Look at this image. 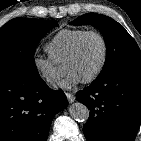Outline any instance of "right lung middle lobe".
Returning <instances> with one entry per match:
<instances>
[{
  "mask_svg": "<svg viewBox=\"0 0 141 141\" xmlns=\"http://www.w3.org/2000/svg\"><path fill=\"white\" fill-rule=\"evenodd\" d=\"M57 23L51 20L15 18L0 28V73L38 74L36 45Z\"/></svg>",
  "mask_w": 141,
  "mask_h": 141,
  "instance_id": "obj_1",
  "label": "right lung middle lobe"
}]
</instances>
